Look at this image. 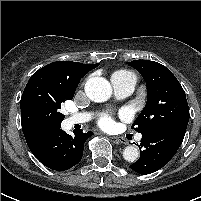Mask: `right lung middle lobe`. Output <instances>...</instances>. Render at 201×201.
<instances>
[{
  "label": "right lung middle lobe",
  "instance_id": "1",
  "mask_svg": "<svg viewBox=\"0 0 201 201\" xmlns=\"http://www.w3.org/2000/svg\"><path fill=\"white\" fill-rule=\"evenodd\" d=\"M77 86L39 69L29 79L21 97V122L41 127H60L61 104L71 100Z\"/></svg>",
  "mask_w": 201,
  "mask_h": 201
}]
</instances>
